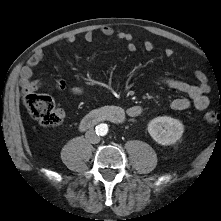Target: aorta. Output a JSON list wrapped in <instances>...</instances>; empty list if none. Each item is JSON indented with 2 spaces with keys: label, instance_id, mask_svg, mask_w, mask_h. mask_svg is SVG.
Segmentation results:
<instances>
[{
  "label": "aorta",
  "instance_id": "1",
  "mask_svg": "<svg viewBox=\"0 0 221 221\" xmlns=\"http://www.w3.org/2000/svg\"><path fill=\"white\" fill-rule=\"evenodd\" d=\"M108 132V126L107 124L101 123L96 126V133L100 136H105Z\"/></svg>",
  "mask_w": 221,
  "mask_h": 221
}]
</instances>
